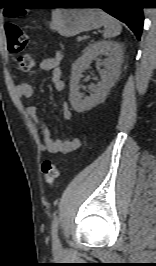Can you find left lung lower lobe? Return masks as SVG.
Listing matches in <instances>:
<instances>
[{"label":"left lung lower lobe","mask_w":156,"mask_h":266,"mask_svg":"<svg viewBox=\"0 0 156 266\" xmlns=\"http://www.w3.org/2000/svg\"><path fill=\"white\" fill-rule=\"evenodd\" d=\"M83 6L102 8L108 14L124 22L140 39L143 28V7L139 0H69Z\"/></svg>","instance_id":"1"}]
</instances>
